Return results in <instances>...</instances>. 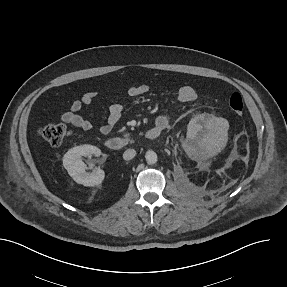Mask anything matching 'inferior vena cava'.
Returning a JSON list of instances; mask_svg holds the SVG:
<instances>
[{
	"label": "inferior vena cava",
	"mask_w": 287,
	"mask_h": 287,
	"mask_svg": "<svg viewBox=\"0 0 287 287\" xmlns=\"http://www.w3.org/2000/svg\"><path fill=\"white\" fill-rule=\"evenodd\" d=\"M135 155L136 151L134 149H127L123 154V158L124 160H131L135 157Z\"/></svg>",
	"instance_id": "1"
}]
</instances>
